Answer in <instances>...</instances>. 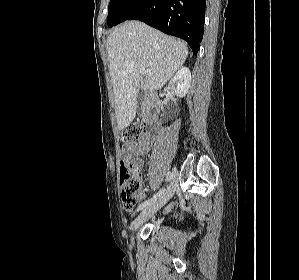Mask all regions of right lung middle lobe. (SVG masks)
Listing matches in <instances>:
<instances>
[{"instance_id": "right-lung-middle-lobe-1", "label": "right lung middle lobe", "mask_w": 299, "mask_h": 280, "mask_svg": "<svg viewBox=\"0 0 299 280\" xmlns=\"http://www.w3.org/2000/svg\"><path fill=\"white\" fill-rule=\"evenodd\" d=\"M135 0H110L108 10V27L119 23L122 14L132 5Z\"/></svg>"}]
</instances>
